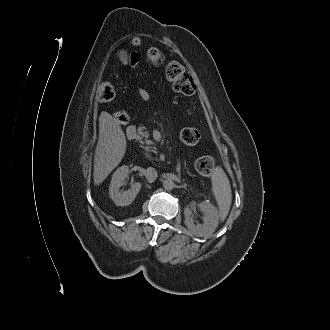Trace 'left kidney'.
I'll use <instances>...</instances> for the list:
<instances>
[{"mask_svg":"<svg viewBox=\"0 0 330 330\" xmlns=\"http://www.w3.org/2000/svg\"><path fill=\"white\" fill-rule=\"evenodd\" d=\"M198 207L203 212V224L195 225L192 219V211L196 208L195 205L185 208L184 223L187 226L189 232L197 237H205L211 235L217 228L219 223L218 210L212 204L203 201Z\"/></svg>","mask_w":330,"mask_h":330,"instance_id":"5707ae66","label":"left kidney"}]
</instances>
